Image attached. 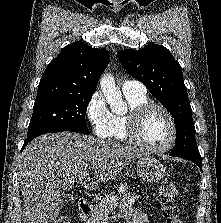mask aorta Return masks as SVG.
<instances>
[{
	"label": "aorta",
	"mask_w": 221,
	"mask_h": 223,
	"mask_svg": "<svg viewBox=\"0 0 221 223\" xmlns=\"http://www.w3.org/2000/svg\"><path fill=\"white\" fill-rule=\"evenodd\" d=\"M100 87L113 113L120 114L126 111V103L122 100V93L116 87L113 76H103L100 80Z\"/></svg>",
	"instance_id": "aorta-1"
}]
</instances>
